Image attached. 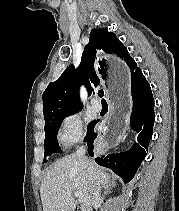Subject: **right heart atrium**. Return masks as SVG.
Returning a JSON list of instances; mask_svg holds the SVG:
<instances>
[{
  "label": "right heart atrium",
  "mask_w": 179,
  "mask_h": 211,
  "mask_svg": "<svg viewBox=\"0 0 179 211\" xmlns=\"http://www.w3.org/2000/svg\"><path fill=\"white\" fill-rule=\"evenodd\" d=\"M85 125L80 114L71 113L60 123L57 138L64 148H70L84 137Z\"/></svg>",
  "instance_id": "right-heart-atrium-1"
}]
</instances>
